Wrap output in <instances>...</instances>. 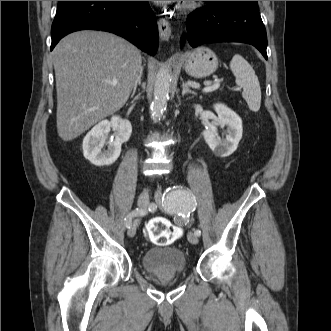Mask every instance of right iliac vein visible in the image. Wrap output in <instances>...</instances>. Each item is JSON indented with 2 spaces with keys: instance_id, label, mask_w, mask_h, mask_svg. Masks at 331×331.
I'll return each mask as SVG.
<instances>
[{
  "instance_id": "obj_1",
  "label": "right iliac vein",
  "mask_w": 331,
  "mask_h": 331,
  "mask_svg": "<svg viewBox=\"0 0 331 331\" xmlns=\"http://www.w3.org/2000/svg\"><path fill=\"white\" fill-rule=\"evenodd\" d=\"M148 204H149L148 191L144 190L138 198V207L140 210H144L148 206ZM137 226H138V220H135L128 229V235L130 237H133L136 234Z\"/></svg>"
}]
</instances>
